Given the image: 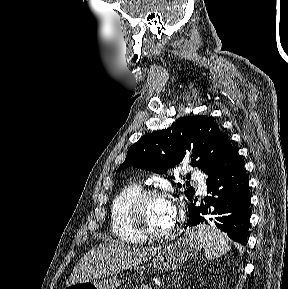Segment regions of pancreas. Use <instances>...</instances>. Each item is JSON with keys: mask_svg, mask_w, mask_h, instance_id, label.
<instances>
[{"mask_svg": "<svg viewBox=\"0 0 288 289\" xmlns=\"http://www.w3.org/2000/svg\"><path fill=\"white\" fill-rule=\"evenodd\" d=\"M135 289H138V288H135ZM139 289H151V287L150 286H148V285H143L141 288H139Z\"/></svg>", "mask_w": 288, "mask_h": 289, "instance_id": "pancreas-1", "label": "pancreas"}]
</instances>
